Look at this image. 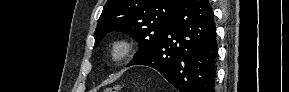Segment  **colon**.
I'll list each match as a JSON object with an SVG mask.
<instances>
[{
	"label": "colon",
	"mask_w": 289,
	"mask_h": 92,
	"mask_svg": "<svg viewBox=\"0 0 289 92\" xmlns=\"http://www.w3.org/2000/svg\"><path fill=\"white\" fill-rule=\"evenodd\" d=\"M120 89H121L120 86H114V87L106 89L104 92H118L120 91Z\"/></svg>",
	"instance_id": "1"
}]
</instances>
